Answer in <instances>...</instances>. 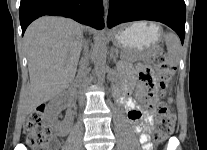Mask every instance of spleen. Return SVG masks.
Instances as JSON below:
<instances>
[{
    "instance_id": "3e777b00",
    "label": "spleen",
    "mask_w": 207,
    "mask_h": 150,
    "mask_svg": "<svg viewBox=\"0 0 207 150\" xmlns=\"http://www.w3.org/2000/svg\"><path fill=\"white\" fill-rule=\"evenodd\" d=\"M165 43L168 50L167 60L171 65H177L180 59L181 43L177 35L168 33L165 36Z\"/></svg>"
}]
</instances>
